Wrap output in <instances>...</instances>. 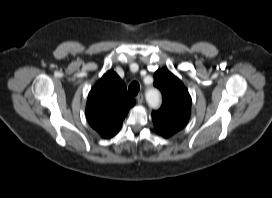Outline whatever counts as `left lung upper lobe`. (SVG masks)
Returning <instances> with one entry per match:
<instances>
[{"label": "left lung upper lobe", "instance_id": "5c2ea615", "mask_svg": "<svg viewBox=\"0 0 272 198\" xmlns=\"http://www.w3.org/2000/svg\"><path fill=\"white\" fill-rule=\"evenodd\" d=\"M154 85L160 89L163 103L152 112L156 130L168 137L186 126L191 110V97L183 83L167 69H158Z\"/></svg>", "mask_w": 272, "mask_h": 198}]
</instances>
